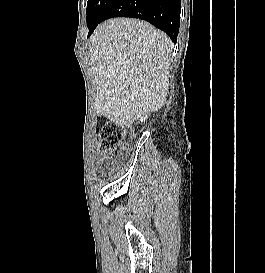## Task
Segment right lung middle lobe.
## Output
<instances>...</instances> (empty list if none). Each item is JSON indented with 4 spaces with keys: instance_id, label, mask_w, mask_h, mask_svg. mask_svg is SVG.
I'll list each match as a JSON object with an SVG mask.
<instances>
[{
    "instance_id": "dd1d6c3e",
    "label": "right lung middle lobe",
    "mask_w": 265,
    "mask_h": 273,
    "mask_svg": "<svg viewBox=\"0 0 265 273\" xmlns=\"http://www.w3.org/2000/svg\"><path fill=\"white\" fill-rule=\"evenodd\" d=\"M113 0H88L87 2V26L88 29L96 28L111 5Z\"/></svg>"
}]
</instances>
